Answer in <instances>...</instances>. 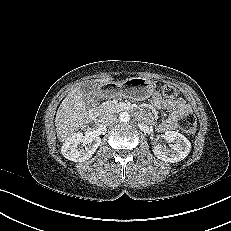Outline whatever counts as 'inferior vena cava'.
Listing matches in <instances>:
<instances>
[{"label":"inferior vena cava","mask_w":231,"mask_h":231,"mask_svg":"<svg viewBox=\"0 0 231 231\" xmlns=\"http://www.w3.org/2000/svg\"><path fill=\"white\" fill-rule=\"evenodd\" d=\"M117 120V116L113 114H107L104 117H102L101 122L105 126L112 125Z\"/></svg>","instance_id":"inferior-vena-cava-1"}]
</instances>
